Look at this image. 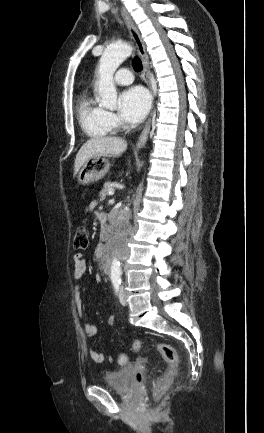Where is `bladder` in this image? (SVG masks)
Listing matches in <instances>:
<instances>
[{
    "label": "bladder",
    "instance_id": "obj_1",
    "mask_svg": "<svg viewBox=\"0 0 264 433\" xmlns=\"http://www.w3.org/2000/svg\"><path fill=\"white\" fill-rule=\"evenodd\" d=\"M129 378L130 370L128 369L109 371L103 378V385L110 390L125 394L130 390Z\"/></svg>",
    "mask_w": 264,
    "mask_h": 433
}]
</instances>
